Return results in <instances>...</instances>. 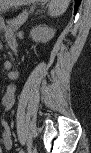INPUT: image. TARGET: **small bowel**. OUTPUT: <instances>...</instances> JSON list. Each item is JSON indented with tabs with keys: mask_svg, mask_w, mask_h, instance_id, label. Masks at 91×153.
Here are the masks:
<instances>
[{
	"mask_svg": "<svg viewBox=\"0 0 91 153\" xmlns=\"http://www.w3.org/2000/svg\"><path fill=\"white\" fill-rule=\"evenodd\" d=\"M14 91L15 88L13 85H9L7 87V91L4 94L2 98V106L9 110L12 107L13 101H14ZM1 142L4 147L11 148L12 146V136L11 131L7 123H3L2 125V136H1Z\"/></svg>",
	"mask_w": 91,
	"mask_h": 153,
	"instance_id": "c3829d8e",
	"label": "small bowel"
}]
</instances>
